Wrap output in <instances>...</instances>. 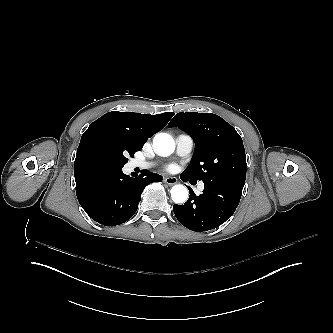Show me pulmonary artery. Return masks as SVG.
Wrapping results in <instances>:
<instances>
[{"mask_svg": "<svg viewBox=\"0 0 333 333\" xmlns=\"http://www.w3.org/2000/svg\"><path fill=\"white\" fill-rule=\"evenodd\" d=\"M193 139L190 135L188 134H179L176 137V154L180 157H187L191 154L193 150ZM134 166H138L140 168L144 169H149L152 167L157 166V163H141V162H136ZM203 182H200L198 185L199 189L203 188Z\"/></svg>", "mask_w": 333, "mask_h": 333, "instance_id": "e3ab8cb5", "label": "pulmonary artery"}]
</instances>
